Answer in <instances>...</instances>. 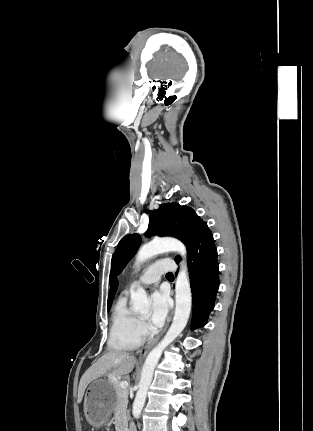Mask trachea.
Segmentation results:
<instances>
[{"label":"trachea","mask_w":313,"mask_h":431,"mask_svg":"<svg viewBox=\"0 0 313 431\" xmlns=\"http://www.w3.org/2000/svg\"><path fill=\"white\" fill-rule=\"evenodd\" d=\"M172 276H173V274H172V273H167V274H166V277H167V278L172 277Z\"/></svg>","instance_id":"obj_1"}]
</instances>
